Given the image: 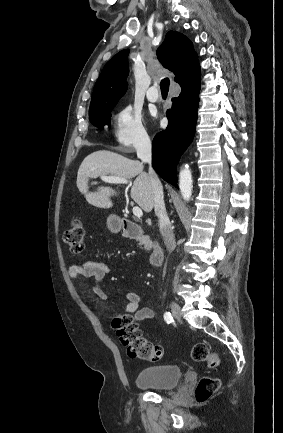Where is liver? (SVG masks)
I'll return each instance as SVG.
<instances>
[{"instance_id":"6515ba94","label":"liver","mask_w":283,"mask_h":433,"mask_svg":"<svg viewBox=\"0 0 283 433\" xmlns=\"http://www.w3.org/2000/svg\"><path fill=\"white\" fill-rule=\"evenodd\" d=\"M144 164L139 160H131L111 150H96L85 156L77 174V186L85 194L87 202L99 208L113 206L111 196L117 194L111 186H99L95 192H89L88 178H96L99 174L119 176V178H134L131 198L145 210L150 212L154 206V194L148 172H143ZM138 174V176H137Z\"/></svg>"}]
</instances>
